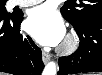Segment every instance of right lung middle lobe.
Returning a JSON list of instances; mask_svg holds the SVG:
<instances>
[{"instance_id":"obj_1","label":"right lung middle lobe","mask_w":102,"mask_h":75,"mask_svg":"<svg viewBox=\"0 0 102 75\" xmlns=\"http://www.w3.org/2000/svg\"><path fill=\"white\" fill-rule=\"evenodd\" d=\"M5 4H6V2L4 0L0 1V16L1 17H9L10 16L6 11Z\"/></svg>"}]
</instances>
